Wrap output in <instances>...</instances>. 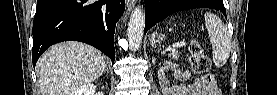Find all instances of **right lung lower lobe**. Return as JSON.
Instances as JSON below:
<instances>
[{
	"label": "right lung lower lobe",
	"instance_id": "1",
	"mask_svg": "<svg viewBox=\"0 0 277 95\" xmlns=\"http://www.w3.org/2000/svg\"><path fill=\"white\" fill-rule=\"evenodd\" d=\"M124 9L125 0H37L33 66L49 46L68 40L94 46L113 63L115 25Z\"/></svg>",
	"mask_w": 277,
	"mask_h": 95
}]
</instances>
